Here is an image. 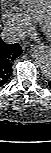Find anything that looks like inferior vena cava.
Returning <instances> with one entry per match:
<instances>
[{
	"instance_id": "obj_1",
	"label": "inferior vena cava",
	"mask_w": 51,
	"mask_h": 153,
	"mask_svg": "<svg viewBox=\"0 0 51 153\" xmlns=\"http://www.w3.org/2000/svg\"><path fill=\"white\" fill-rule=\"evenodd\" d=\"M25 34L16 27H5L1 31V38L6 43H15L25 39Z\"/></svg>"
}]
</instances>
